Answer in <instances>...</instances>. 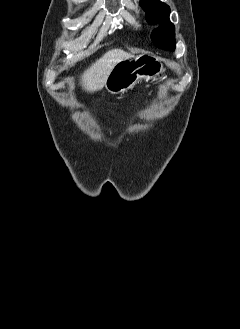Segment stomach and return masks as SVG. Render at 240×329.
<instances>
[{
	"instance_id": "stomach-1",
	"label": "stomach",
	"mask_w": 240,
	"mask_h": 329,
	"mask_svg": "<svg viewBox=\"0 0 240 329\" xmlns=\"http://www.w3.org/2000/svg\"><path fill=\"white\" fill-rule=\"evenodd\" d=\"M164 71L162 62L151 54L125 59L115 65L105 81V89L111 94L125 93L141 80H149Z\"/></svg>"
}]
</instances>
